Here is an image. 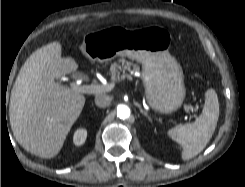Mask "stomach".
Masks as SVG:
<instances>
[{"label": "stomach", "instance_id": "0dacf381", "mask_svg": "<svg viewBox=\"0 0 245 187\" xmlns=\"http://www.w3.org/2000/svg\"><path fill=\"white\" fill-rule=\"evenodd\" d=\"M171 35L157 26L142 29L110 27L87 34L82 52L92 61L128 57L143 66V83L149 105L161 113L180 108L185 98L183 72L168 51Z\"/></svg>", "mask_w": 245, "mask_h": 187}]
</instances>
